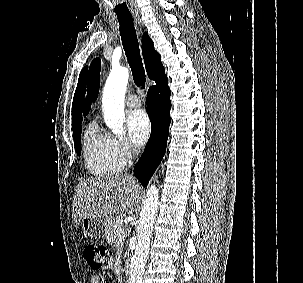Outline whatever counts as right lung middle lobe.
I'll use <instances>...</instances> for the list:
<instances>
[{
	"mask_svg": "<svg viewBox=\"0 0 303 283\" xmlns=\"http://www.w3.org/2000/svg\"><path fill=\"white\" fill-rule=\"evenodd\" d=\"M81 132H82L81 124L73 127L74 145H75L76 153L78 155H81Z\"/></svg>",
	"mask_w": 303,
	"mask_h": 283,
	"instance_id": "1",
	"label": "right lung middle lobe"
}]
</instances>
